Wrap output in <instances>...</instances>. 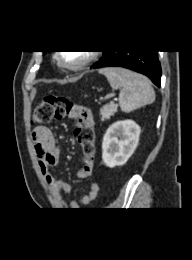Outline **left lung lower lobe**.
<instances>
[{"mask_svg":"<svg viewBox=\"0 0 192 260\" xmlns=\"http://www.w3.org/2000/svg\"><path fill=\"white\" fill-rule=\"evenodd\" d=\"M108 66L124 67L142 73L160 87L161 67L156 50L104 51L102 58L91 67Z\"/></svg>","mask_w":192,"mask_h":260,"instance_id":"0a47b994","label":"left lung lower lobe"}]
</instances>
